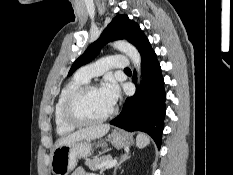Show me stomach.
I'll return each instance as SVG.
<instances>
[{
	"label": "stomach",
	"instance_id": "obj_1",
	"mask_svg": "<svg viewBox=\"0 0 233 175\" xmlns=\"http://www.w3.org/2000/svg\"><path fill=\"white\" fill-rule=\"evenodd\" d=\"M107 141L118 149L129 147L133 143L129 134L118 130L108 134ZM92 146L90 140H82L55 147L51 156L53 174L68 175L76 167L79 158H87L91 154ZM98 146H106V142H98Z\"/></svg>",
	"mask_w": 233,
	"mask_h": 175
}]
</instances>
